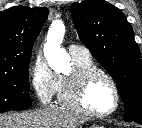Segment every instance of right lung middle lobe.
Masks as SVG:
<instances>
[{"mask_svg":"<svg viewBox=\"0 0 142 128\" xmlns=\"http://www.w3.org/2000/svg\"><path fill=\"white\" fill-rule=\"evenodd\" d=\"M27 61L15 69L0 71V113L31 107Z\"/></svg>","mask_w":142,"mask_h":128,"instance_id":"obj_1","label":"right lung middle lobe"}]
</instances>
